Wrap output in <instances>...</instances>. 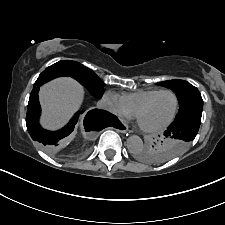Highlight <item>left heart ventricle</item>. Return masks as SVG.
Listing matches in <instances>:
<instances>
[{
	"mask_svg": "<svg viewBox=\"0 0 225 225\" xmlns=\"http://www.w3.org/2000/svg\"><path fill=\"white\" fill-rule=\"evenodd\" d=\"M175 108V98L170 93L157 96L141 113L140 123L145 127H156L166 122Z\"/></svg>",
	"mask_w": 225,
	"mask_h": 225,
	"instance_id": "b2bd125f",
	"label": "left heart ventricle"
}]
</instances>
